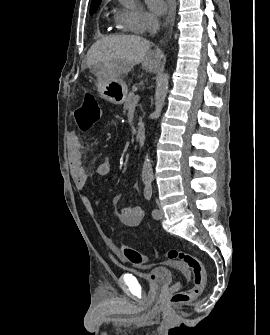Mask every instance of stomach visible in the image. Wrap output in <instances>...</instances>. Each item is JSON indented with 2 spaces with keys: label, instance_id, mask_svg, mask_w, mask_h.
<instances>
[{
  "label": "stomach",
  "instance_id": "0dacf381",
  "mask_svg": "<svg viewBox=\"0 0 270 335\" xmlns=\"http://www.w3.org/2000/svg\"><path fill=\"white\" fill-rule=\"evenodd\" d=\"M96 90L103 100H108L111 104H123L127 98V86L123 80H116L114 67H99L96 72Z\"/></svg>",
  "mask_w": 270,
  "mask_h": 335
}]
</instances>
